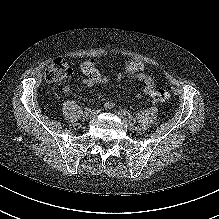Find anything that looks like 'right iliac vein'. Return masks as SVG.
<instances>
[{"mask_svg": "<svg viewBox=\"0 0 219 219\" xmlns=\"http://www.w3.org/2000/svg\"><path fill=\"white\" fill-rule=\"evenodd\" d=\"M92 116H93V115H92V113H90V112H89V113H84L83 119H84V120H89V119L92 118Z\"/></svg>", "mask_w": 219, "mask_h": 219, "instance_id": "obj_1", "label": "right iliac vein"}]
</instances>
